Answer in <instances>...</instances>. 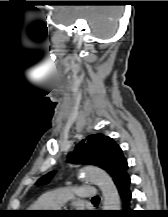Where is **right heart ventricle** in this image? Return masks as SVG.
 <instances>
[{
  "instance_id": "1",
  "label": "right heart ventricle",
  "mask_w": 168,
  "mask_h": 217,
  "mask_svg": "<svg viewBox=\"0 0 168 217\" xmlns=\"http://www.w3.org/2000/svg\"><path fill=\"white\" fill-rule=\"evenodd\" d=\"M51 209V207L45 203L42 202L41 199L37 200L34 204L30 206V211L36 212V211H43Z\"/></svg>"
}]
</instances>
